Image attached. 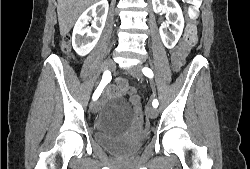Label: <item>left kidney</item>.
I'll list each match as a JSON object with an SVG mask.
<instances>
[{"mask_svg": "<svg viewBox=\"0 0 250 169\" xmlns=\"http://www.w3.org/2000/svg\"><path fill=\"white\" fill-rule=\"evenodd\" d=\"M152 4L154 12H159V10L167 12L168 18L164 24H161L159 32L163 44L167 48H173L176 42H178L184 28V16L181 6H179L177 0H152ZM168 24H172L171 34L167 30L169 28Z\"/></svg>", "mask_w": 250, "mask_h": 169, "instance_id": "1", "label": "left kidney"}]
</instances>
